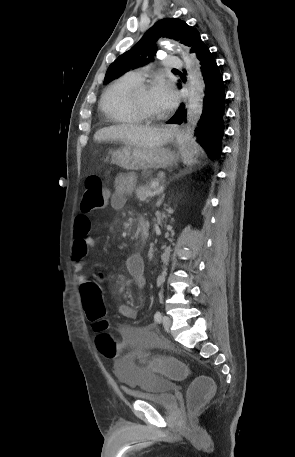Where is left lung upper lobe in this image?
Wrapping results in <instances>:
<instances>
[{
  "label": "left lung upper lobe",
  "mask_w": 295,
  "mask_h": 457,
  "mask_svg": "<svg viewBox=\"0 0 295 457\" xmlns=\"http://www.w3.org/2000/svg\"><path fill=\"white\" fill-rule=\"evenodd\" d=\"M160 37H168L192 47L200 39L199 32L175 18H165L156 22L130 50L120 55L108 68L105 80H114L127 71L146 64L156 52L154 43Z\"/></svg>",
  "instance_id": "5c2ea615"
}]
</instances>
